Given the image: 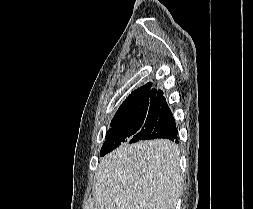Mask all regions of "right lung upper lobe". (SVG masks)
Returning a JSON list of instances; mask_svg holds the SVG:
<instances>
[{
    "label": "right lung upper lobe",
    "instance_id": "1",
    "mask_svg": "<svg viewBox=\"0 0 253 209\" xmlns=\"http://www.w3.org/2000/svg\"><path fill=\"white\" fill-rule=\"evenodd\" d=\"M151 86V83H147L133 91L119 107L113 119L129 115L138 110L151 108L154 102L163 97L161 90L151 89Z\"/></svg>",
    "mask_w": 253,
    "mask_h": 209
}]
</instances>
